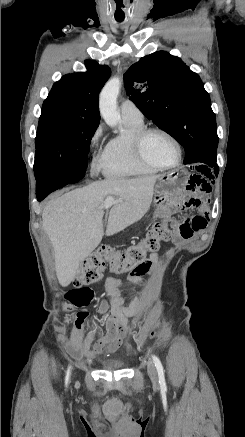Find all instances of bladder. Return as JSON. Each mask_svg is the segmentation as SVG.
<instances>
[{
    "label": "bladder",
    "instance_id": "obj_1",
    "mask_svg": "<svg viewBox=\"0 0 245 437\" xmlns=\"http://www.w3.org/2000/svg\"><path fill=\"white\" fill-rule=\"evenodd\" d=\"M125 365H126V362L124 359L115 358V359H112V360H109V361L103 363V368L108 369V370H117V369L124 368Z\"/></svg>",
    "mask_w": 245,
    "mask_h": 437
}]
</instances>
